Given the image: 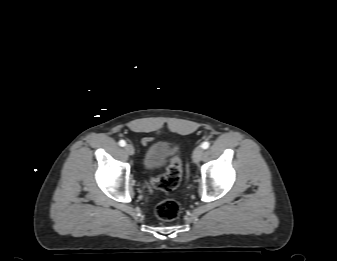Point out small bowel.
<instances>
[{"label":"small bowel","mask_w":337,"mask_h":261,"mask_svg":"<svg viewBox=\"0 0 337 261\" xmlns=\"http://www.w3.org/2000/svg\"><path fill=\"white\" fill-rule=\"evenodd\" d=\"M152 141V138L146 137L143 139V145L147 146Z\"/></svg>","instance_id":"1"}]
</instances>
